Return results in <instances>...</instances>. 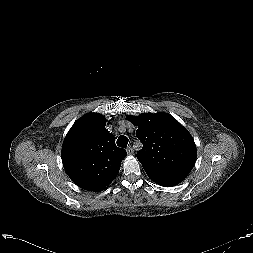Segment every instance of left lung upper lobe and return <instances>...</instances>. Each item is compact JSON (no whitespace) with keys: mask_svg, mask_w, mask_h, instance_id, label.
<instances>
[{"mask_svg":"<svg viewBox=\"0 0 253 253\" xmlns=\"http://www.w3.org/2000/svg\"><path fill=\"white\" fill-rule=\"evenodd\" d=\"M127 118L138 127L136 136L143 148L137 152V159L144 169L190 173L196 161V145L177 120L165 113Z\"/></svg>","mask_w":253,"mask_h":253,"instance_id":"5c2ea615","label":"left lung upper lobe"}]
</instances>
